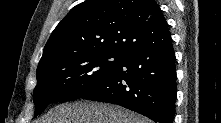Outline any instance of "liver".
Listing matches in <instances>:
<instances>
[{"mask_svg": "<svg viewBox=\"0 0 221 123\" xmlns=\"http://www.w3.org/2000/svg\"><path fill=\"white\" fill-rule=\"evenodd\" d=\"M42 123H150L138 114L119 106L77 101L50 110Z\"/></svg>", "mask_w": 221, "mask_h": 123, "instance_id": "6515ba94", "label": "liver"}]
</instances>
